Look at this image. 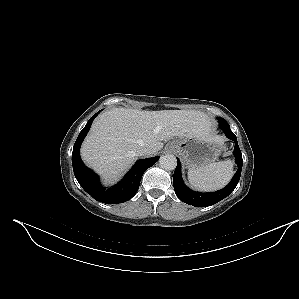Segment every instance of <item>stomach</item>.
<instances>
[{"instance_id":"obj_1","label":"stomach","mask_w":299,"mask_h":299,"mask_svg":"<svg viewBox=\"0 0 299 299\" xmlns=\"http://www.w3.org/2000/svg\"><path fill=\"white\" fill-rule=\"evenodd\" d=\"M169 149L178 153L188 168H198L215 162L224 148V140L217 135L185 137L173 140Z\"/></svg>"}]
</instances>
